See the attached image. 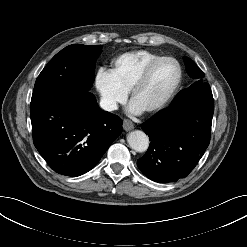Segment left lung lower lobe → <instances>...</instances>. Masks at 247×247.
Masks as SVG:
<instances>
[{
	"label": "left lung lower lobe",
	"instance_id": "obj_1",
	"mask_svg": "<svg viewBox=\"0 0 247 247\" xmlns=\"http://www.w3.org/2000/svg\"><path fill=\"white\" fill-rule=\"evenodd\" d=\"M213 112L212 91L203 83L144 122L151 142L137 160L140 171L159 183L186 177L209 145Z\"/></svg>",
	"mask_w": 247,
	"mask_h": 247
}]
</instances>
